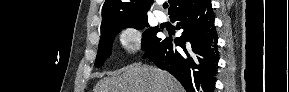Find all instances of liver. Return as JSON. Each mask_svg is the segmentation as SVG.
I'll return each mask as SVG.
<instances>
[{"label":"liver","mask_w":289,"mask_h":92,"mask_svg":"<svg viewBox=\"0 0 289 92\" xmlns=\"http://www.w3.org/2000/svg\"><path fill=\"white\" fill-rule=\"evenodd\" d=\"M94 92H183V88L168 72L134 63L101 79Z\"/></svg>","instance_id":"obj_1"}]
</instances>
